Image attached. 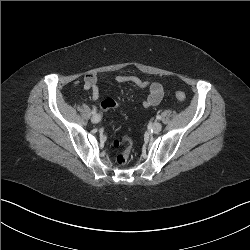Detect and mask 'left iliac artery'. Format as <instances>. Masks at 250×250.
<instances>
[{
    "label": "left iliac artery",
    "mask_w": 250,
    "mask_h": 250,
    "mask_svg": "<svg viewBox=\"0 0 250 250\" xmlns=\"http://www.w3.org/2000/svg\"><path fill=\"white\" fill-rule=\"evenodd\" d=\"M156 118H157L158 120H160V119H161V116H160V115H157Z\"/></svg>",
    "instance_id": "left-iliac-artery-1"
}]
</instances>
